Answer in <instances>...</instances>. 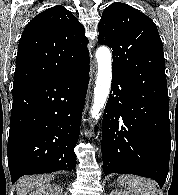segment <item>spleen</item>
Instances as JSON below:
<instances>
[{
    "label": "spleen",
    "mask_w": 178,
    "mask_h": 195,
    "mask_svg": "<svg viewBox=\"0 0 178 195\" xmlns=\"http://www.w3.org/2000/svg\"><path fill=\"white\" fill-rule=\"evenodd\" d=\"M118 184L129 190L131 195H158L156 183L153 180L134 175H121Z\"/></svg>",
    "instance_id": "3e777b00"
}]
</instances>
